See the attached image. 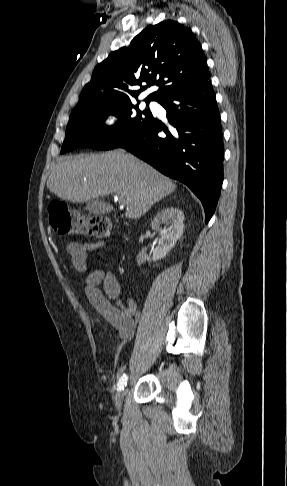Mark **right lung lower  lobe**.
Instances as JSON below:
<instances>
[{
  "instance_id": "98d812e1",
  "label": "right lung lower lobe",
  "mask_w": 287,
  "mask_h": 486,
  "mask_svg": "<svg viewBox=\"0 0 287 486\" xmlns=\"http://www.w3.org/2000/svg\"><path fill=\"white\" fill-rule=\"evenodd\" d=\"M157 102L166 109L172 129L152 117L117 147L186 184L201 200L207 223L220 195L224 158L220 114L211 81ZM160 131L166 135H159Z\"/></svg>"
}]
</instances>
